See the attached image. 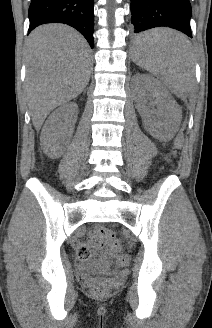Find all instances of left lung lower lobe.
Here are the masks:
<instances>
[{"instance_id":"obj_1","label":"left lung lower lobe","mask_w":212,"mask_h":328,"mask_svg":"<svg viewBox=\"0 0 212 328\" xmlns=\"http://www.w3.org/2000/svg\"><path fill=\"white\" fill-rule=\"evenodd\" d=\"M131 23L135 33L160 26L182 31L192 37L190 28L191 4L189 0H131ZM134 44L151 45L142 42L139 36Z\"/></svg>"}]
</instances>
